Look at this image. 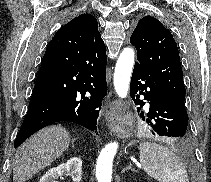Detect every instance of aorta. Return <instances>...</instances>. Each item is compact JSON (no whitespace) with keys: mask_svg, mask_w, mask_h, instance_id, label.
<instances>
[{"mask_svg":"<svg viewBox=\"0 0 211 182\" xmlns=\"http://www.w3.org/2000/svg\"><path fill=\"white\" fill-rule=\"evenodd\" d=\"M134 50L127 47L121 52L114 72V88L120 98H126L134 66ZM118 149L117 142H110L101 150L96 165L97 182H111L113 159Z\"/></svg>","mask_w":211,"mask_h":182,"instance_id":"aorta-1","label":"aorta"}]
</instances>
